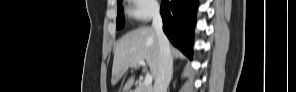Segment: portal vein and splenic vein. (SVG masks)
Returning <instances> with one entry per match:
<instances>
[{
	"mask_svg": "<svg viewBox=\"0 0 296 92\" xmlns=\"http://www.w3.org/2000/svg\"><path fill=\"white\" fill-rule=\"evenodd\" d=\"M138 64L141 66H146V63L144 60H139ZM152 83V75L146 74L145 79H144V85L148 86Z\"/></svg>",
	"mask_w": 296,
	"mask_h": 92,
	"instance_id": "1",
	"label": "portal vein and splenic vein"
}]
</instances>
